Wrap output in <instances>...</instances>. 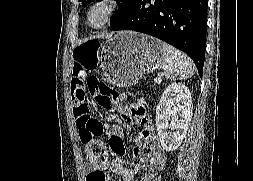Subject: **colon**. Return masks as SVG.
I'll list each match as a JSON object with an SVG mask.
<instances>
[{
  "instance_id": "5ec220e1",
  "label": "colon",
  "mask_w": 253,
  "mask_h": 181,
  "mask_svg": "<svg viewBox=\"0 0 253 181\" xmlns=\"http://www.w3.org/2000/svg\"><path fill=\"white\" fill-rule=\"evenodd\" d=\"M101 42L97 38H88L74 51L76 63L92 69L95 60H99ZM117 100L115 91L108 88L99 78L90 77L86 91L78 97L75 107L76 123L81 143L87 152L88 163L92 167H101L107 159L102 137L105 131L103 122L92 114V106L111 111Z\"/></svg>"
}]
</instances>
